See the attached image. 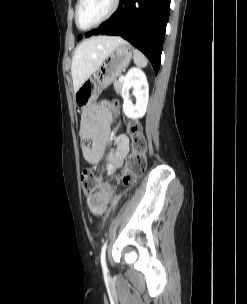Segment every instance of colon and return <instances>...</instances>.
<instances>
[{"label":"colon","mask_w":247,"mask_h":304,"mask_svg":"<svg viewBox=\"0 0 247 304\" xmlns=\"http://www.w3.org/2000/svg\"><path fill=\"white\" fill-rule=\"evenodd\" d=\"M128 131L132 138V152L127 159L126 166L119 181L129 186L144 173L146 168V142L141 132V127L137 122L128 123ZM83 191L86 194L94 192L98 185V178L92 170L86 169L81 175ZM111 197V188L108 184H104L102 189L91 194L87 198L90 210L94 214H101Z\"/></svg>","instance_id":"obj_1"}]
</instances>
